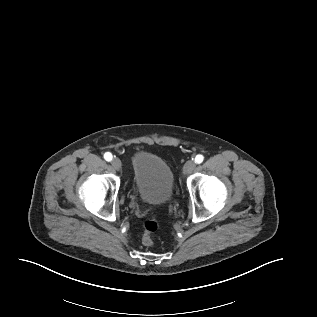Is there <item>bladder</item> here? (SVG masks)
<instances>
[{
    "instance_id": "1",
    "label": "bladder",
    "mask_w": 317,
    "mask_h": 317,
    "mask_svg": "<svg viewBox=\"0 0 317 317\" xmlns=\"http://www.w3.org/2000/svg\"><path fill=\"white\" fill-rule=\"evenodd\" d=\"M131 164L136 190L144 202L158 205L171 200L174 173L161 157L139 151L132 156Z\"/></svg>"
}]
</instances>
